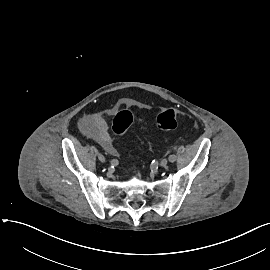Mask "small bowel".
I'll use <instances>...</instances> for the list:
<instances>
[{"mask_svg": "<svg viewBox=\"0 0 270 270\" xmlns=\"http://www.w3.org/2000/svg\"><path fill=\"white\" fill-rule=\"evenodd\" d=\"M124 102H118V105H123ZM108 114L112 115L113 110L108 109ZM81 130L84 135L96 141L106 151L113 150V144L108 132V126L101 115L97 113H90L83 117L80 123Z\"/></svg>", "mask_w": 270, "mask_h": 270, "instance_id": "1", "label": "small bowel"}]
</instances>
